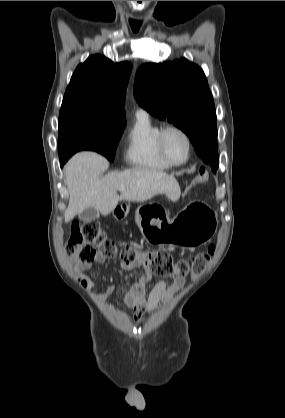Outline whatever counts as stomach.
Segmentation results:
<instances>
[{
	"instance_id": "obj_1",
	"label": "stomach",
	"mask_w": 285,
	"mask_h": 418,
	"mask_svg": "<svg viewBox=\"0 0 285 418\" xmlns=\"http://www.w3.org/2000/svg\"><path fill=\"white\" fill-rule=\"evenodd\" d=\"M136 223L142 234L150 241L165 238L170 243L183 247L196 246L208 242L214 235L217 222L215 214L199 202L189 203L173 219L156 224L149 208L142 206L136 213Z\"/></svg>"
}]
</instances>
